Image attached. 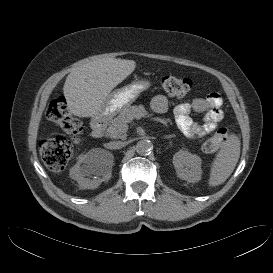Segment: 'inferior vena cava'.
Segmentation results:
<instances>
[{"label": "inferior vena cava", "mask_w": 273, "mask_h": 273, "mask_svg": "<svg viewBox=\"0 0 273 273\" xmlns=\"http://www.w3.org/2000/svg\"><path fill=\"white\" fill-rule=\"evenodd\" d=\"M109 145L111 149H121L126 145V143L122 141H113Z\"/></svg>", "instance_id": "obj_1"}]
</instances>
